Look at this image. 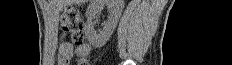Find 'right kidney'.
<instances>
[{"label": "right kidney", "instance_id": "ca27d5eb", "mask_svg": "<svg viewBox=\"0 0 232 65\" xmlns=\"http://www.w3.org/2000/svg\"><path fill=\"white\" fill-rule=\"evenodd\" d=\"M123 0H93L86 11L87 23L84 27L85 35L88 41L95 47H102L109 40L116 28L119 18L124 8ZM108 6L110 15L102 31L97 33L94 29L93 20L98 13Z\"/></svg>", "mask_w": 232, "mask_h": 65}]
</instances>
